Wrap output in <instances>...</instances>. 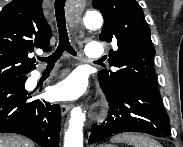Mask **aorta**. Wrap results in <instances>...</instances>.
Masks as SVG:
<instances>
[{
	"instance_id": "aorta-1",
	"label": "aorta",
	"mask_w": 183,
	"mask_h": 147,
	"mask_svg": "<svg viewBox=\"0 0 183 147\" xmlns=\"http://www.w3.org/2000/svg\"><path fill=\"white\" fill-rule=\"evenodd\" d=\"M83 25L90 30L102 26L103 18L99 12H87L81 18ZM85 112L80 106L71 110L69 126L64 137V147H83V126Z\"/></svg>"
}]
</instances>
